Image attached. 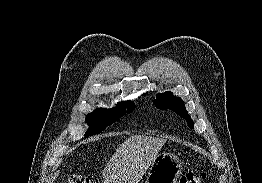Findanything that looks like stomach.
I'll return each mask as SVG.
<instances>
[{
    "mask_svg": "<svg viewBox=\"0 0 262 183\" xmlns=\"http://www.w3.org/2000/svg\"><path fill=\"white\" fill-rule=\"evenodd\" d=\"M182 169V162L175 154H158L149 167L145 183H177Z\"/></svg>",
    "mask_w": 262,
    "mask_h": 183,
    "instance_id": "0dacf381",
    "label": "stomach"
}]
</instances>
